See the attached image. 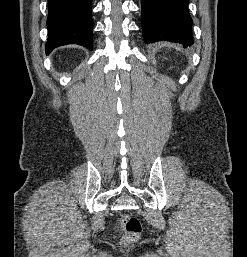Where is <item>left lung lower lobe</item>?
I'll use <instances>...</instances> for the list:
<instances>
[{"label": "left lung lower lobe", "instance_id": "left-lung-lower-lobe-1", "mask_svg": "<svg viewBox=\"0 0 247 257\" xmlns=\"http://www.w3.org/2000/svg\"><path fill=\"white\" fill-rule=\"evenodd\" d=\"M188 3L189 0H141L144 41L191 45L194 39Z\"/></svg>", "mask_w": 247, "mask_h": 257}]
</instances>
